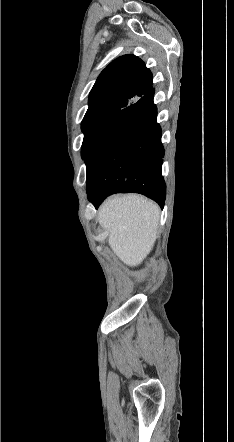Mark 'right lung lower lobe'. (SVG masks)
Wrapping results in <instances>:
<instances>
[{
    "instance_id": "obj_1",
    "label": "right lung lower lobe",
    "mask_w": 234,
    "mask_h": 442,
    "mask_svg": "<svg viewBox=\"0 0 234 442\" xmlns=\"http://www.w3.org/2000/svg\"><path fill=\"white\" fill-rule=\"evenodd\" d=\"M152 88L120 110L85 163L87 195L97 208L113 193H141L163 208L166 186L161 173L164 148Z\"/></svg>"
}]
</instances>
